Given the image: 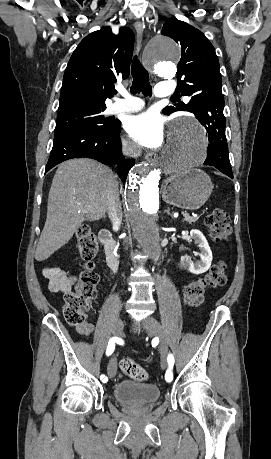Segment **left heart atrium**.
Returning <instances> with one entry per match:
<instances>
[{
  "label": "left heart atrium",
  "mask_w": 271,
  "mask_h": 459,
  "mask_svg": "<svg viewBox=\"0 0 271 459\" xmlns=\"http://www.w3.org/2000/svg\"><path fill=\"white\" fill-rule=\"evenodd\" d=\"M127 132L139 146L158 148L165 140L166 131L163 118L154 112H145L131 117Z\"/></svg>",
  "instance_id": "obj_1"
}]
</instances>
